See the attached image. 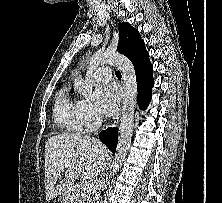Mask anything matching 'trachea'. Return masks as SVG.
<instances>
[{
	"label": "trachea",
	"instance_id": "1",
	"mask_svg": "<svg viewBox=\"0 0 222 203\" xmlns=\"http://www.w3.org/2000/svg\"><path fill=\"white\" fill-rule=\"evenodd\" d=\"M115 75H116L117 78H121V77H122L120 71H116V72H115Z\"/></svg>",
	"mask_w": 222,
	"mask_h": 203
}]
</instances>
